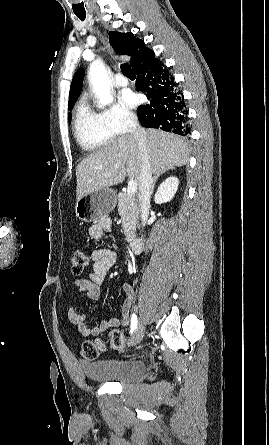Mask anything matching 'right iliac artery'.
<instances>
[{
	"instance_id": "1",
	"label": "right iliac artery",
	"mask_w": 269,
	"mask_h": 445,
	"mask_svg": "<svg viewBox=\"0 0 269 445\" xmlns=\"http://www.w3.org/2000/svg\"><path fill=\"white\" fill-rule=\"evenodd\" d=\"M137 323H138V319H137V316H136V314H132V317H131V333L136 329V327H137Z\"/></svg>"
}]
</instances>
